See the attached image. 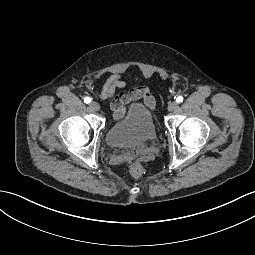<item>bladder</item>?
<instances>
[{
	"mask_svg": "<svg viewBox=\"0 0 255 255\" xmlns=\"http://www.w3.org/2000/svg\"><path fill=\"white\" fill-rule=\"evenodd\" d=\"M157 132L151 110L143 103L135 102L121 118L109 125L106 141L112 147H132L153 141Z\"/></svg>",
	"mask_w": 255,
	"mask_h": 255,
	"instance_id": "31cf9c89",
	"label": "bladder"
}]
</instances>
